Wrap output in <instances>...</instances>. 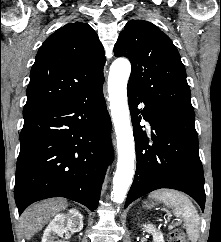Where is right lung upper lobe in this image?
Returning a JSON list of instances; mask_svg holds the SVG:
<instances>
[{"label": "right lung upper lobe", "mask_w": 221, "mask_h": 242, "mask_svg": "<svg viewBox=\"0 0 221 242\" xmlns=\"http://www.w3.org/2000/svg\"><path fill=\"white\" fill-rule=\"evenodd\" d=\"M104 49L87 23H68L39 48L23 115L61 105L104 78Z\"/></svg>", "instance_id": "right-lung-upper-lobe-1"}]
</instances>
